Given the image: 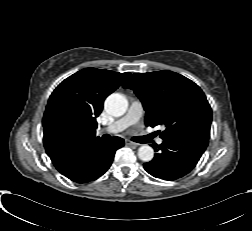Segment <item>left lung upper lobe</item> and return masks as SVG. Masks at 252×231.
Wrapping results in <instances>:
<instances>
[{
    "mask_svg": "<svg viewBox=\"0 0 252 231\" xmlns=\"http://www.w3.org/2000/svg\"><path fill=\"white\" fill-rule=\"evenodd\" d=\"M134 90L146 111V126H165L163 140L182 135L210 138L211 107L198 85L168 70L135 73L123 85Z\"/></svg>",
    "mask_w": 252,
    "mask_h": 231,
    "instance_id": "5c2ea615",
    "label": "left lung upper lobe"
}]
</instances>
